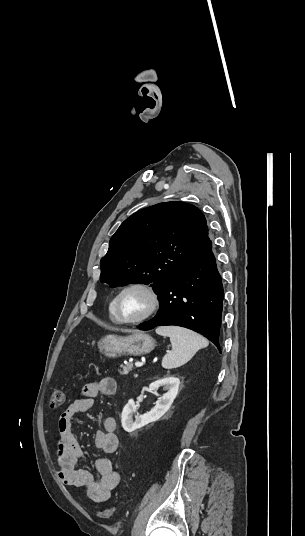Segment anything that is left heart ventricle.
Here are the masks:
<instances>
[{
    "instance_id": "left-heart-ventricle-1",
    "label": "left heart ventricle",
    "mask_w": 305,
    "mask_h": 536,
    "mask_svg": "<svg viewBox=\"0 0 305 536\" xmlns=\"http://www.w3.org/2000/svg\"><path fill=\"white\" fill-rule=\"evenodd\" d=\"M148 294L140 288H132L124 292L120 299V316L122 319L133 320L143 316L149 309Z\"/></svg>"
}]
</instances>
